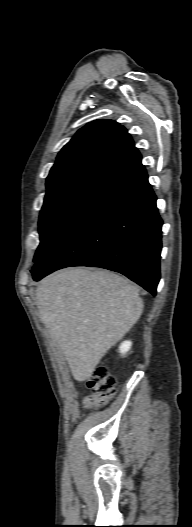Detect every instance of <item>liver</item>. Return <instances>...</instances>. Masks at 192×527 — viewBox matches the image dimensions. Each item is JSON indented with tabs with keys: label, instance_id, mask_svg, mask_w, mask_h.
Returning a JSON list of instances; mask_svg holds the SVG:
<instances>
[{
	"label": "liver",
	"instance_id": "liver-1",
	"mask_svg": "<svg viewBox=\"0 0 192 527\" xmlns=\"http://www.w3.org/2000/svg\"><path fill=\"white\" fill-rule=\"evenodd\" d=\"M36 304L73 378L80 382L129 332L144 307L131 281L86 268L64 269L44 278L36 288Z\"/></svg>",
	"mask_w": 192,
	"mask_h": 527
}]
</instances>
